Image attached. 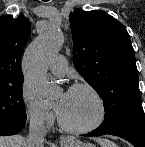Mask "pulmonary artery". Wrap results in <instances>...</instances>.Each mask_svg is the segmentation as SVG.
Wrapping results in <instances>:
<instances>
[{
  "mask_svg": "<svg viewBox=\"0 0 145 147\" xmlns=\"http://www.w3.org/2000/svg\"><path fill=\"white\" fill-rule=\"evenodd\" d=\"M49 68L54 75L63 76L68 70L65 57L62 55L55 56L52 59Z\"/></svg>",
  "mask_w": 145,
  "mask_h": 147,
  "instance_id": "pulmonary-artery-1",
  "label": "pulmonary artery"
}]
</instances>
